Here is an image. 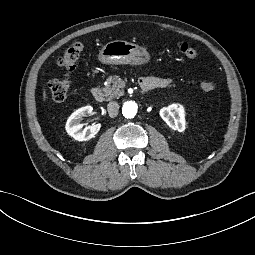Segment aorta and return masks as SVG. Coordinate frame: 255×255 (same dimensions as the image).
I'll return each mask as SVG.
<instances>
[{"label": "aorta", "mask_w": 255, "mask_h": 255, "mask_svg": "<svg viewBox=\"0 0 255 255\" xmlns=\"http://www.w3.org/2000/svg\"><path fill=\"white\" fill-rule=\"evenodd\" d=\"M138 106L133 101L125 102L122 107V113L125 118H133L137 113Z\"/></svg>", "instance_id": "1"}]
</instances>
